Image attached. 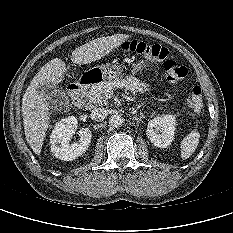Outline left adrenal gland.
<instances>
[{
	"label": "left adrenal gland",
	"mask_w": 233,
	"mask_h": 233,
	"mask_svg": "<svg viewBox=\"0 0 233 233\" xmlns=\"http://www.w3.org/2000/svg\"><path fill=\"white\" fill-rule=\"evenodd\" d=\"M142 105H143V103L139 104L135 109H132V111L136 112Z\"/></svg>",
	"instance_id": "a2214340"
}]
</instances>
